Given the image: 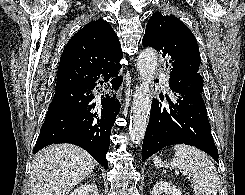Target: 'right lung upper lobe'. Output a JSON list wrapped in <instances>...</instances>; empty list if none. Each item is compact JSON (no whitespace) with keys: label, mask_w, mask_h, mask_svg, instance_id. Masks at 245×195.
<instances>
[{"label":"right lung upper lobe","mask_w":245,"mask_h":195,"mask_svg":"<svg viewBox=\"0 0 245 195\" xmlns=\"http://www.w3.org/2000/svg\"><path fill=\"white\" fill-rule=\"evenodd\" d=\"M123 53L111 25L104 20L88 23L67 43L60 58L55 90L88 83L97 72L113 78L121 69Z\"/></svg>","instance_id":"1"}]
</instances>
